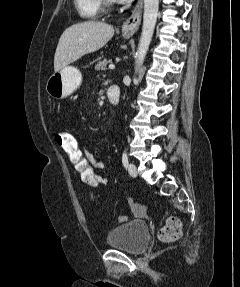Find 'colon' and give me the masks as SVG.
<instances>
[{
    "label": "colon",
    "instance_id": "obj_1",
    "mask_svg": "<svg viewBox=\"0 0 240 287\" xmlns=\"http://www.w3.org/2000/svg\"><path fill=\"white\" fill-rule=\"evenodd\" d=\"M55 141L62 153L67 158L69 164L78 174L80 180L92 187L100 184L99 174L94 166L87 159L84 150L79 146L75 136L68 131H59L55 135ZM143 214V211L137 213ZM125 216H118L119 222H124ZM182 234V225L176 217L166 220L164 226L158 231V239L164 243H171L178 240Z\"/></svg>",
    "mask_w": 240,
    "mask_h": 287
}]
</instances>
